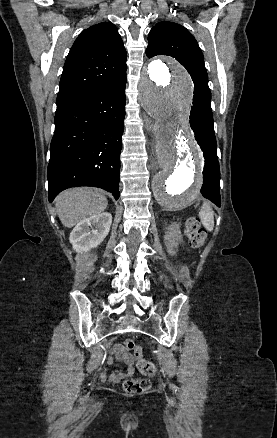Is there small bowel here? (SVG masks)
<instances>
[{"label": "small bowel", "mask_w": 277, "mask_h": 438, "mask_svg": "<svg viewBox=\"0 0 277 438\" xmlns=\"http://www.w3.org/2000/svg\"><path fill=\"white\" fill-rule=\"evenodd\" d=\"M115 356L114 358H110L108 360L109 363H112L114 361H118L124 364L125 369L123 371H115L111 374V380L113 381H119L124 376H130L134 374V365H133V358L132 356L126 351V349L121 346L117 345L114 350Z\"/></svg>", "instance_id": "1"}]
</instances>
